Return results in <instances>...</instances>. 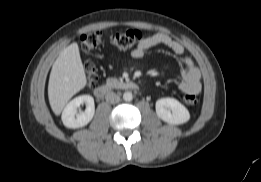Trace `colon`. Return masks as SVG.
I'll list each match as a JSON object with an SVG mask.
<instances>
[{
  "mask_svg": "<svg viewBox=\"0 0 261 182\" xmlns=\"http://www.w3.org/2000/svg\"><path fill=\"white\" fill-rule=\"evenodd\" d=\"M104 33L102 31H91L84 33L80 39V48L83 54H88L92 50L99 47L104 41ZM107 40L119 49H130L137 46L142 38L138 30H128L124 32H115L107 35ZM84 69L87 75V84L94 87L98 81V75L94 64L88 60L84 62ZM184 102L187 105H196L198 102L195 94L187 93L184 96Z\"/></svg>",
  "mask_w": 261,
  "mask_h": 182,
  "instance_id": "obj_1",
  "label": "colon"
}]
</instances>
